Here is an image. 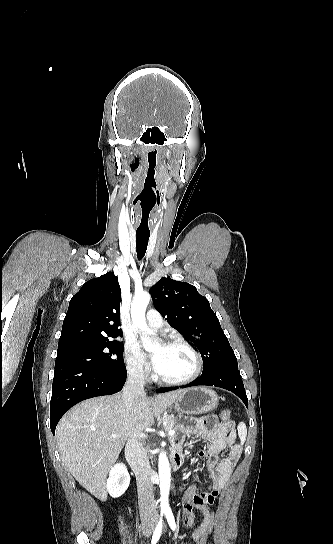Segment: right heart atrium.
I'll return each mask as SVG.
<instances>
[{
    "label": "right heart atrium",
    "mask_w": 333,
    "mask_h": 544,
    "mask_svg": "<svg viewBox=\"0 0 333 544\" xmlns=\"http://www.w3.org/2000/svg\"><path fill=\"white\" fill-rule=\"evenodd\" d=\"M124 357L126 369L130 376L140 381L148 378L149 367L133 341L127 342Z\"/></svg>",
    "instance_id": "d8ad5b80"
}]
</instances>
